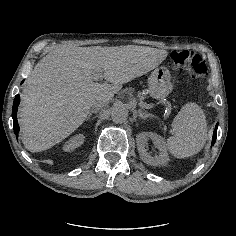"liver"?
Segmentation results:
<instances>
[{
	"mask_svg": "<svg viewBox=\"0 0 236 236\" xmlns=\"http://www.w3.org/2000/svg\"><path fill=\"white\" fill-rule=\"evenodd\" d=\"M154 52L138 45L66 46L44 56L21 94L18 116L26 149L41 152L72 135L91 107L107 104L124 83L148 70L143 65ZM161 53L168 55L166 50ZM97 72L105 82H95Z\"/></svg>",
	"mask_w": 236,
	"mask_h": 236,
	"instance_id": "liver-1",
	"label": "liver"
}]
</instances>
